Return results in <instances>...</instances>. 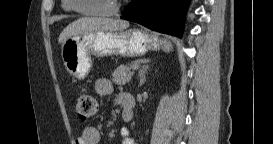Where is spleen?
<instances>
[{
  "instance_id": "3e777b00",
  "label": "spleen",
  "mask_w": 273,
  "mask_h": 144,
  "mask_svg": "<svg viewBox=\"0 0 273 144\" xmlns=\"http://www.w3.org/2000/svg\"><path fill=\"white\" fill-rule=\"evenodd\" d=\"M161 42H162L164 51H170L172 49L171 44L167 42L166 40H162Z\"/></svg>"
}]
</instances>
